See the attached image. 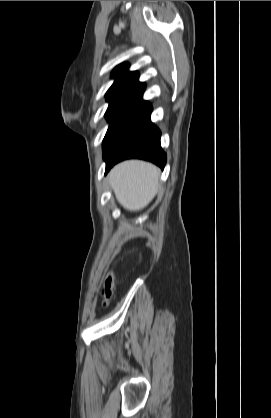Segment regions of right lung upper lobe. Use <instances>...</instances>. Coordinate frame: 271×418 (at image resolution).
<instances>
[{"label": "right lung upper lobe", "instance_id": "cb5924a9", "mask_svg": "<svg viewBox=\"0 0 271 418\" xmlns=\"http://www.w3.org/2000/svg\"><path fill=\"white\" fill-rule=\"evenodd\" d=\"M128 68L129 65L123 63L114 69L112 78H115V81L106 93L107 100L109 102L130 100L149 103L142 100L145 83L138 81L139 73L137 71L130 72Z\"/></svg>", "mask_w": 271, "mask_h": 418}]
</instances>
